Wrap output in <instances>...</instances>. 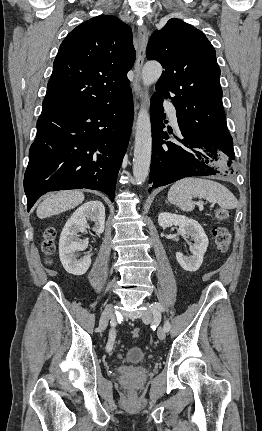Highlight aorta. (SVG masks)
I'll return each instance as SVG.
<instances>
[{"label":"aorta","mask_w":262,"mask_h":431,"mask_svg":"<svg viewBox=\"0 0 262 431\" xmlns=\"http://www.w3.org/2000/svg\"><path fill=\"white\" fill-rule=\"evenodd\" d=\"M162 66L157 62H148L142 69V81L145 87L156 83L162 74ZM135 147L133 158V175L138 184L147 179L151 163L152 133L148 111L142 108L137 117Z\"/></svg>","instance_id":"762f6f07"}]
</instances>
